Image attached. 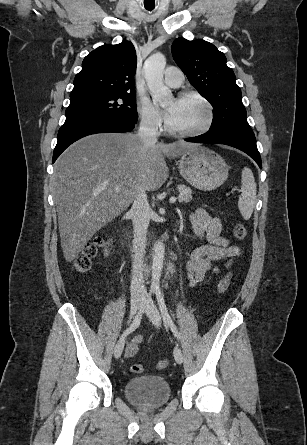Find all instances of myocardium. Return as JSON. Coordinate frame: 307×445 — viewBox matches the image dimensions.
Listing matches in <instances>:
<instances>
[{"instance_id":"f54148a6","label":"myocardium","mask_w":307,"mask_h":445,"mask_svg":"<svg viewBox=\"0 0 307 445\" xmlns=\"http://www.w3.org/2000/svg\"><path fill=\"white\" fill-rule=\"evenodd\" d=\"M179 99H194L200 102L207 111V119L205 123L199 128L191 131H179L172 128L169 124V121L166 122V130L174 135L188 137L192 139H196L207 132H209L215 125L216 122V110L213 104L202 94L194 91L184 92L179 96Z\"/></svg>"}]
</instances>
